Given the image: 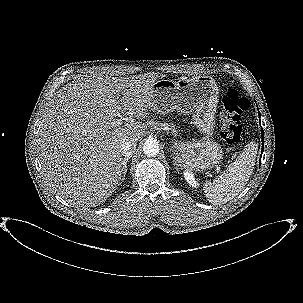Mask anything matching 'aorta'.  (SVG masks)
<instances>
[{"label": "aorta", "instance_id": "aorta-1", "mask_svg": "<svg viewBox=\"0 0 303 303\" xmlns=\"http://www.w3.org/2000/svg\"><path fill=\"white\" fill-rule=\"evenodd\" d=\"M159 150V144L155 140H147L143 145V152L148 157L158 155Z\"/></svg>", "mask_w": 303, "mask_h": 303}]
</instances>
